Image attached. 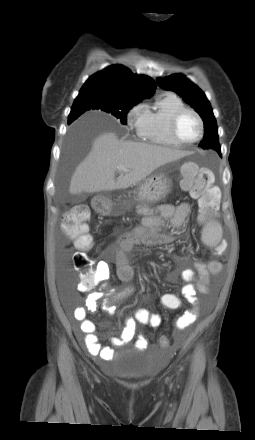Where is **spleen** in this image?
I'll list each match as a JSON object with an SVG mask.
<instances>
[{
	"label": "spleen",
	"mask_w": 255,
	"mask_h": 440,
	"mask_svg": "<svg viewBox=\"0 0 255 440\" xmlns=\"http://www.w3.org/2000/svg\"><path fill=\"white\" fill-rule=\"evenodd\" d=\"M222 238V228L217 222L207 223L203 230L201 240L207 246H216Z\"/></svg>",
	"instance_id": "obj_1"
}]
</instances>
